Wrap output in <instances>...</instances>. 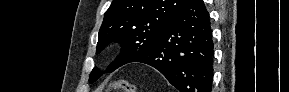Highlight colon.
I'll return each instance as SVG.
<instances>
[{
  "mask_svg": "<svg viewBox=\"0 0 289 92\" xmlns=\"http://www.w3.org/2000/svg\"><path fill=\"white\" fill-rule=\"evenodd\" d=\"M108 91H124V92H135V86L128 80H119L113 84L111 89Z\"/></svg>",
  "mask_w": 289,
  "mask_h": 92,
  "instance_id": "obj_1",
  "label": "colon"
}]
</instances>
